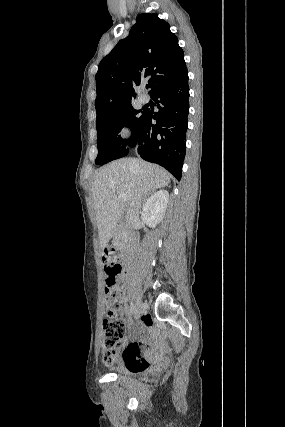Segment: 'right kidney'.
<instances>
[{
    "instance_id": "ca27d5eb",
    "label": "right kidney",
    "mask_w": 285,
    "mask_h": 427,
    "mask_svg": "<svg viewBox=\"0 0 285 427\" xmlns=\"http://www.w3.org/2000/svg\"><path fill=\"white\" fill-rule=\"evenodd\" d=\"M169 193L166 190L155 192L143 206L141 218L149 227H156L165 215Z\"/></svg>"
}]
</instances>
